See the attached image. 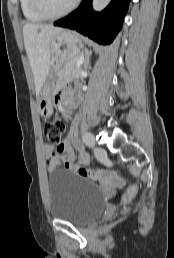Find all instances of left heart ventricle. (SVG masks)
Masks as SVG:
<instances>
[{
    "label": "left heart ventricle",
    "instance_id": "b2bd125f",
    "mask_svg": "<svg viewBox=\"0 0 174 258\" xmlns=\"http://www.w3.org/2000/svg\"><path fill=\"white\" fill-rule=\"evenodd\" d=\"M72 2L73 0H45L46 6L55 13L64 10Z\"/></svg>",
    "mask_w": 174,
    "mask_h": 258
}]
</instances>
